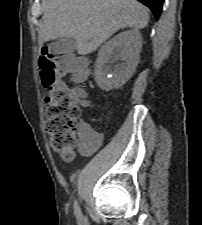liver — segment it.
<instances>
[{
  "mask_svg": "<svg viewBox=\"0 0 202 225\" xmlns=\"http://www.w3.org/2000/svg\"><path fill=\"white\" fill-rule=\"evenodd\" d=\"M39 43L62 37L76 41L79 55L94 52L123 28L143 29L149 13L136 0H44Z\"/></svg>",
  "mask_w": 202,
  "mask_h": 225,
  "instance_id": "6515ba94",
  "label": "liver"
}]
</instances>
